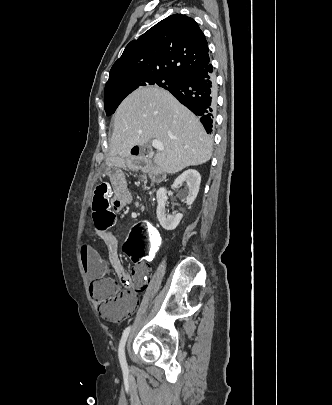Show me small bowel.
Listing matches in <instances>:
<instances>
[{"instance_id": "obj_1", "label": "small bowel", "mask_w": 332, "mask_h": 405, "mask_svg": "<svg viewBox=\"0 0 332 405\" xmlns=\"http://www.w3.org/2000/svg\"><path fill=\"white\" fill-rule=\"evenodd\" d=\"M107 177L111 178V184L114 190L113 196L110 198V205L115 215H126L127 205L131 202L132 196L127 188L126 181V168H107ZM101 238L107 244L110 255L112 256V263L119 275L121 282L134 290H142L145 287L144 279L141 275V267H137L131 274L124 271L118 257V243L114 235L109 233H100ZM80 258L84 270L89 278L93 281L102 277L107 271V263L102 258L100 253L90 245H82L80 247ZM136 308V299L134 296L129 300L125 313L116 318L120 319L134 311Z\"/></svg>"}]
</instances>
